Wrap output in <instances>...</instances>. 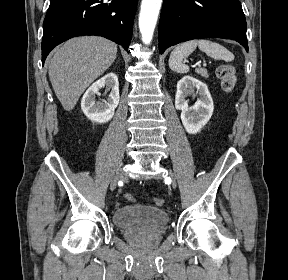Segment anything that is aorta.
Wrapping results in <instances>:
<instances>
[{"label":"aorta","mask_w":288,"mask_h":280,"mask_svg":"<svg viewBox=\"0 0 288 280\" xmlns=\"http://www.w3.org/2000/svg\"><path fill=\"white\" fill-rule=\"evenodd\" d=\"M161 4L162 0H142L139 29L145 44H149L152 40Z\"/></svg>","instance_id":"762f6f07"}]
</instances>
